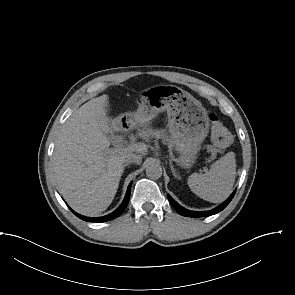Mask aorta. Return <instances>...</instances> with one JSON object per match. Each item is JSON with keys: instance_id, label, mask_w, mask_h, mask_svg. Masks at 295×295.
<instances>
[{"instance_id": "762f6f07", "label": "aorta", "mask_w": 295, "mask_h": 295, "mask_svg": "<svg viewBox=\"0 0 295 295\" xmlns=\"http://www.w3.org/2000/svg\"><path fill=\"white\" fill-rule=\"evenodd\" d=\"M146 175L151 179H158L162 175V168L157 162H150L146 168Z\"/></svg>"}]
</instances>
